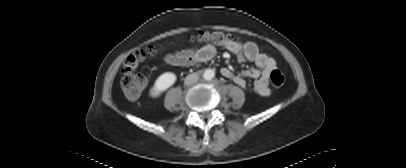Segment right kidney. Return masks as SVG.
Returning <instances> with one entry per match:
<instances>
[{"instance_id": "ca27d5eb", "label": "right kidney", "mask_w": 406, "mask_h": 168, "mask_svg": "<svg viewBox=\"0 0 406 168\" xmlns=\"http://www.w3.org/2000/svg\"><path fill=\"white\" fill-rule=\"evenodd\" d=\"M176 81V75L172 72L161 74L155 81L154 86L150 90L151 97H158L162 92L166 91Z\"/></svg>"}]
</instances>
